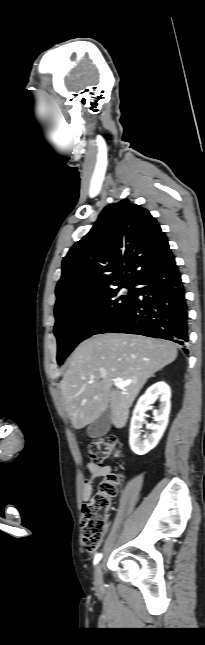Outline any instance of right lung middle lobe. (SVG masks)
Here are the masks:
<instances>
[{
    "mask_svg": "<svg viewBox=\"0 0 205 645\" xmlns=\"http://www.w3.org/2000/svg\"><path fill=\"white\" fill-rule=\"evenodd\" d=\"M121 288H129L128 295H121ZM132 299L133 286L124 284L117 289L84 296L56 313L54 334L58 343V364L61 365L81 341L111 326Z\"/></svg>",
    "mask_w": 205,
    "mask_h": 645,
    "instance_id": "right-lung-middle-lobe-1",
    "label": "right lung middle lobe"
}]
</instances>
